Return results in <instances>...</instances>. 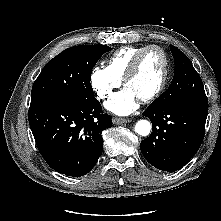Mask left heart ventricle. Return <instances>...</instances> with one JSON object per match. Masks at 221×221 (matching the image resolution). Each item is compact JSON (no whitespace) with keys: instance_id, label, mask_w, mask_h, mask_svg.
Returning <instances> with one entry per match:
<instances>
[{"instance_id":"b2bd125f","label":"left heart ventricle","mask_w":221,"mask_h":221,"mask_svg":"<svg viewBox=\"0 0 221 221\" xmlns=\"http://www.w3.org/2000/svg\"><path fill=\"white\" fill-rule=\"evenodd\" d=\"M163 57L157 50L147 52L137 73L127 82L126 87L139 99L152 93L160 82L163 73Z\"/></svg>"}]
</instances>
